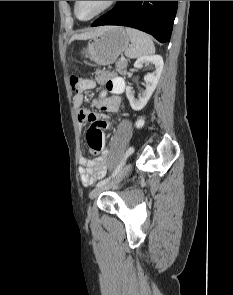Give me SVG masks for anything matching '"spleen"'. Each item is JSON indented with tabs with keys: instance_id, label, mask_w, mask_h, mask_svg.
<instances>
[{
	"instance_id": "3e777b00",
	"label": "spleen",
	"mask_w": 233,
	"mask_h": 295,
	"mask_svg": "<svg viewBox=\"0 0 233 295\" xmlns=\"http://www.w3.org/2000/svg\"><path fill=\"white\" fill-rule=\"evenodd\" d=\"M132 46L125 51L129 58H138L155 52V47L150 36L140 30L126 27Z\"/></svg>"
}]
</instances>
